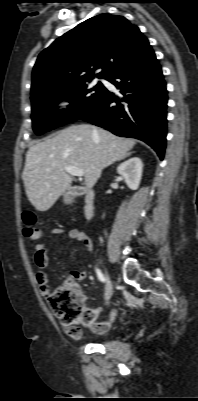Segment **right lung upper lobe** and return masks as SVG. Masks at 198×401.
<instances>
[{
    "label": "right lung upper lobe",
    "instance_id": "1",
    "mask_svg": "<svg viewBox=\"0 0 198 401\" xmlns=\"http://www.w3.org/2000/svg\"><path fill=\"white\" fill-rule=\"evenodd\" d=\"M149 46L147 38L125 17H92L43 50L32 73L31 100L96 76H110ZM100 69L98 74L94 72ZM107 79V78H106Z\"/></svg>",
    "mask_w": 198,
    "mask_h": 401
}]
</instances>
